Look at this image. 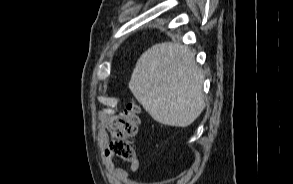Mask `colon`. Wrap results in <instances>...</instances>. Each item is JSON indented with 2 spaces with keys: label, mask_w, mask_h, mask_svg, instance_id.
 I'll use <instances>...</instances> for the list:
<instances>
[{
  "label": "colon",
  "mask_w": 293,
  "mask_h": 184,
  "mask_svg": "<svg viewBox=\"0 0 293 184\" xmlns=\"http://www.w3.org/2000/svg\"><path fill=\"white\" fill-rule=\"evenodd\" d=\"M139 114V106L130 102L116 117L103 145L106 155L116 157L129 164L137 161L135 151L128 139L137 133Z\"/></svg>",
  "instance_id": "5ec220e1"
}]
</instances>
